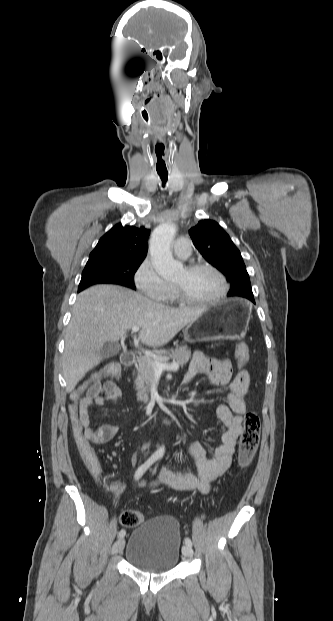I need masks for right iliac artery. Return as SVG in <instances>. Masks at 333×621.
I'll list each match as a JSON object with an SVG mask.
<instances>
[{"label":"right iliac artery","mask_w":333,"mask_h":621,"mask_svg":"<svg viewBox=\"0 0 333 621\" xmlns=\"http://www.w3.org/2000/svg\"><path fill=\"white\" fill-rule=\"evenodd\" d=\"M159 457L160 455L157 453L152 454V456L144 464L138 467L135 472L134 479L139 480L140 477H142V475L150 468V466H152L158 460ZM125 534L126 531L122 529L119 531L118 537L123 538Z\"/></svg>","instance_id":"1"}]
</instances>
